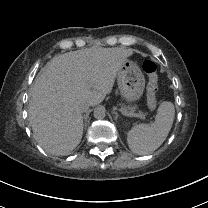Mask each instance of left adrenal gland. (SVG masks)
I'll list each match as a JSON object with an SVG mask.
<instances>
[{
	"mask_svg": "<svg viewBox=\"0 0 208 208\" xmlns=\"http://www.w3.org/2000/svg\"><path fill=\"white\" fill-rule=\"evenodd\" d=\"M114 113H115V120H117L118 119V113L115 112V110H114Z\"/></svg>",
	"mask_w": 208,
	"mask_h": 208,
	"instance_id": "obj_1",
	"label": "left adrenal gland"
}]
</instances>
